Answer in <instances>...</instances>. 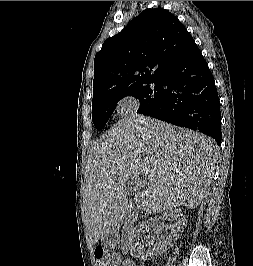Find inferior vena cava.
<instances>
[{
	"instance_id": "602c4592",
	"label": "inferior vena cava",
	"mask_w": 253,
	"mask_h": 266,
	"mask_svg": "<svg viewBox=\"0 0 253 266\" xmlns=\"http://www.w3.org/2000/svg\"><path fill=\"white\" fill-rule=\"evenodd\" d=\"M131 218V215H128L127 220L129 221ZM132 231V229H130Z\"/></svg>"
}]
</instances>
